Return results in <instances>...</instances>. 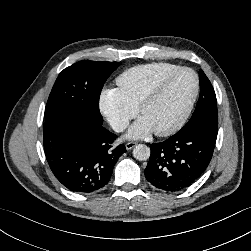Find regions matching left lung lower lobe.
I'll list each match as a JSON object with an SVG mask.
<instances>
[{"label": "left lung lower lobe", "instance_id": "0a47b994", "mask_svg": "<svg viewBox=\"0 0 251 251\" xmlns=\"http://www.w3.org/2000/svg\"><path fill=\"white\" fill-rule=\"evenodd\" d=\"M217 127L199 124L180 130L164 142L150 146L151 155L144 174L156 188L180 191L194 183L209 165Z\"/></svg>", "mask_w": 251, "mask_h": 251}]
</instances>
